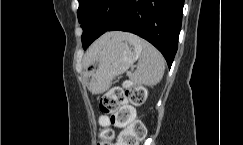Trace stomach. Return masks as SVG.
I'll return each mask as SVG.
<instances>
[{
    "mask_svg": "<svg viewBox=\"0 0 243 145\" xmlns=\"http://www.w3.org/2000/svg\"><path fill=\"white\" fill-rule=\"evenodd\" d=\"M141 40L129 33H110L89 58L85 79L92 93H103L111 86L112 79L129 69L141 56Z\"/></svg>",
    "mask_w": 243,
    "mask_h": 145,
    "instance_id": "stomach-1",
    "label": "stomach"
}]
</instances>
